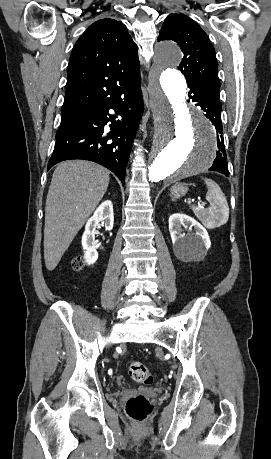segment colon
I'll list each match as a JSON object with an SVG mask.
<instances>
[{
	"label": "colon",
	"instance_id": "colon-1",
	"mask_svg": "<svg viewBox=\"0 0 271 459\" xmlns=\"http://www.w3.org/2000/svg\"><path fill=\"white\" fill-rule=\"evenodd\" d=\"M71 3H76L77 0H69ZM85 265V259L82 256H78L73 259L72 267L76 271H80ZM130 377L143 384H151L153 377L148 368L139 361H134L129 365ZM152 405L150 401L143 395H137L131 397L125 406V412L127 416L134 422H143L150 414Z\"/></svg>",
	"mask_w": 271,
	"mask_h": 459
}]
</instances>
